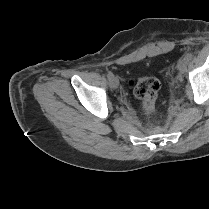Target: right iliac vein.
Here are the masks:
<instances>
[{
	"instance_id": "63e3f726",
	"label": "right iliac vein",
	"mask_w": 209,
	"mask_h": 209,
	"mask_svg": "<svg viewBox=\"0 0 209 209\" xmlns=\"http://www.w3.org/2000/svg\"><path fill=\"white\" fill-rule=\"evenodd\" d=\"M109 85L111 88L116 89L119 85V80L116 76H113L110 80H109Z\"/></svg>"
}]
</instances>
